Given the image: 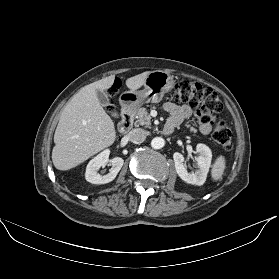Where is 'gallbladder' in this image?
<instances>
[{
  "label": "gallbladder",
  "mask_w": 279,
  "mask_h": 279,
  "mask_svg": "<svg viewBox=\"0 0 279 279\" xmlns=\"http://www.w3.org/2000/svg\"><path fill=\"white\" fill-rule=\"evenodd\" d=\"M96 95H97V98L99 100V103L103 107H106V106L109 105V98H108V95L105 92L97 90ZM111 114H112L113 117H118V114L115 111L111 112Z\"/></svg>",
  "instance_id": "1"
}]
</instances>
